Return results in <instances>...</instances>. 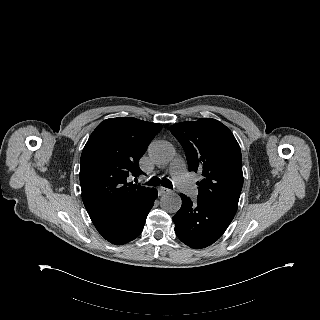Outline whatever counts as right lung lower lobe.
<instances>
[{"label":"right lung lower lobe","mask_w":320,"mask_h":320,"mask_svg":"<svg viewBox=\"0 0 320 320\" xmlns=\"http://www.w3.org/2000/svg\"><path fill=\"white\" fill-rule=\"evenodd\" d=\"M157 195V190L152 188L132 206L92 222L110 243L116 245L128 243L141 234Z\"/></svg>","instance_id":"98d812e1"}]
</instances>
